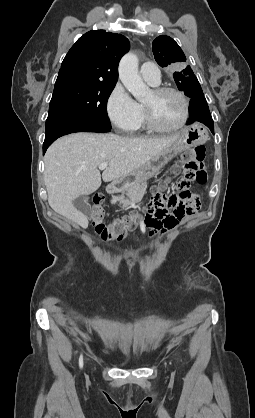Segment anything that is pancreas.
<instances>
[{
	"label": "pancreas",
	"instance_id": "pancreas-1",
	"mask_svg": "<svg viewBox=\"0 0 255 418\" xmlns=\"http://www.w3.org/2000/svg\"><path fill=\"white\" fill-rule=\"evenodd\" d=\"M147 182L146 180L140 181L131 187L126 188L122 192L121 196L113 197L112 203L119 201L123 208L128 209L131 205L140 202L146 192ZM126 194L127 197L124 196Z\"/></svg>",
	"mask_w": 255,
	"mask_h": 418
}]
</instances>
